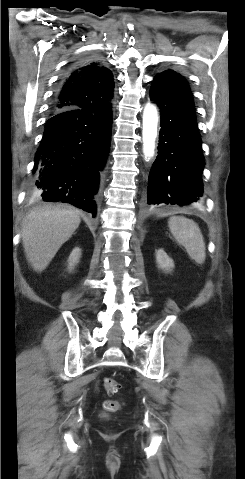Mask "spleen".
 Here are the masks:
<instances>
[{
	"label": "spleen",
	"instance_id": "3e777b00",
	"mask_svg": "<svg viewBox=\"0 0 245 479\" xmlns=\"http://www.w3.org/2000/svg\"><path fill=\"white\" fill-rule=\"evenodd\" d=\"M168 226L174 238L186 249L189 257L197 264H203L206 258L205 243L199 226L184 216L170 217Z\"/></svg>",
	"mask_w": 245,
	"mask_h": 479
}]
</instances>
